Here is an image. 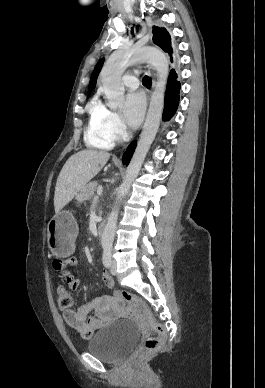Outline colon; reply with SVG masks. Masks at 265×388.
I'll return each instance as SVG.
<instances>
[{
    "label": "colon",
    "mask_w": 265,
    "mask_h": 388,
    "mask_svg": "<svg viewBox=\"0 0 265 388\" xmlns=\"http://www.w3.org/2000/svg\"><path fill=\"white\" fill-rule=\"evenodd\" d=\"M115 297L118 300L125 301L139 307L143 314L144 322L156 333L157 336H149L144 341V349L148 352H154L158 350L166 340L167 331L163 324L159 323L153 314V311L148 302L130 291L117 290L115 291ZM58 305L67 309L73 305L72 293L63 286H59L57 289Z\"/></svg>",
    "instance_id": "1"
}]
</instances>
